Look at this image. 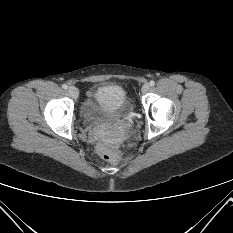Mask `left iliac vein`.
Listing matches in <instances>:
<instances>
[{
	"instance_id": "4c4485c4",
	"label": "left iliac vein",
	"mask_w": 233,
	"mask_h": 233,
	"mask_svg": "<svg viewBox=\"0 0 233 233\" xmlns=\"http://www.w3.org/2000/svg\"><path fill=\"white\" fill-rule=\"evenodd\" d=\"M149 90H150V85H149L148 83H145V84L142 86L141 91H142L143 93H146V92H148Z\"/></svg>"
}]
</instances>
